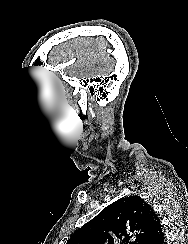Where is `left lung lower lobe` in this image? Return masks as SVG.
<instances>
[{"label":"left lung lower lobe","mask_w":188,"mask_h":244,"mask_svg":"<svg viewBox=\"0 0 188 244\" xmlns=\"http://www.w3.org/2000/svg\"><path fill=\"white\" fill-rule=\"evenodd\" d=\"M147 244H165L164 233L159 218L153 226Z\"/></svg>","instance_id":"0a47b994"}]
</instances>
